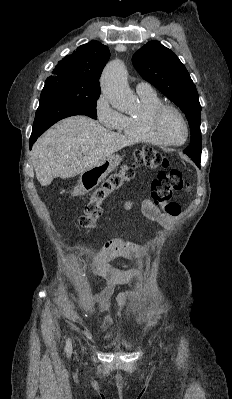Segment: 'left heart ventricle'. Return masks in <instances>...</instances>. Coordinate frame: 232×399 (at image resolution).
<instances>
[{"mask_svg": "<svg viewBox=\"0 0 232 399\" xmlns=\"http://www.w3.org/2000/svg\"><path fill=\"white\" fill-rule=\"evenodd\" d=\"M158 125L160 132L171 141L180 143L186 137L184 124L171 110H168L161 115Z\"/></svg>", "mask_w": 232, "mask_h": 399, "instance_id": "1", "label": "left heart ventricle"}]
</instances>
